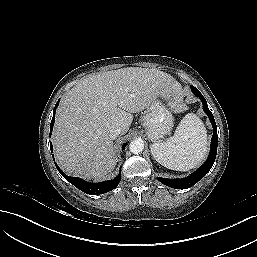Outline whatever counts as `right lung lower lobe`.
Wrapping results in <instances>:
<instances>
[{"mask_svg":"<svg viewBox=\"0 0 257 257\" xmlns=\"http://www.w3.org/2000/svg\"><path fill=\"white\" fill-rule=\"evenodd\" d=\"M58 104H59V100L56 103L55 108L53 110V117H52L51 124H50V133L53 129V125H54V121H55V110H56V107L58 106ZM125 146H126V144L123 145V149ZM50 149H51V151H53L51 142H50ZM54 163H55V161H54ZM55 166L58 169V171L60 172V174L66 180H68L76 188H78L79 190L83 191L86 194H91V195L104 194L108 191L115 189L121 180V174H119L112 180H108V181H104V182H100V183H89L78 177L67 176L63 173V171L58 167V165L56 163H55Z\"/></svg>","mask_w":257,"mask_h":257,"instance_id":"obj_1","label":"right lung lower lobe"}]
</instances>
